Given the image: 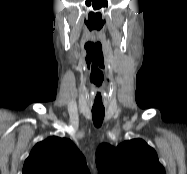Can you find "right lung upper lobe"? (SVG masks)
<instances>
[{"instance_id":"cb5924a9","label":"right lung upper lobe","mask_w":187,"mask_h":174,"mask_svg":"<svg viewBox=\"0 0 187 174\" xmlns=\"http://www.w3.org/2000/svg\"><path fill=\"white\" fill-rule=\"evenodd\" d=\"M23 174H90L82 153L66 138L37 143L23 166Z\"/></svg>"}]
</instances>
